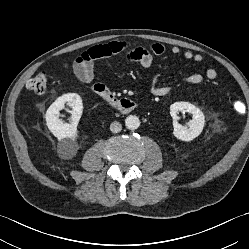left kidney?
<instances>
[{"label":"left kidney","instance_id":"left-kidney-1","mask_svg":"<svg viewBox=\"0 0 249 249\" xmlns=\"http://www.w3.org/2000/svg\"><path fill=\"white\" fill-rule=\"evenodd\" d=\"M179 112H188L192 115V120L188 122L189 128L178 123ZM170 115L173 118V134L177 139L188 142L201 134L205 124V117L198 107L189 102H175L170 106Z\"/></svg>","mask_w":249,"mask_h":249}]
</instances>
